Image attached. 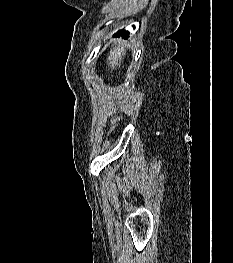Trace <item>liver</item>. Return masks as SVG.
Listing matches in <instances>:
<instances>
[{
  "mask_svg": "<svg viewBox=\"0 0 233 263\" xmlns=\"http://www.w3.org/2000/svg\"><path fill=\"white\" fill-rule=\"evenodd\" d=\"M126 43L122 40H117L115 42V47L110 50V53L107 58V63L111 70H114L116 67H120L121 61L126 55Z\"/></svg>",
  "mask_w": 233,
  "mask_h": 263,
  "instance_id": "liver-1",
  "label": "liver"
}]
</instances>
